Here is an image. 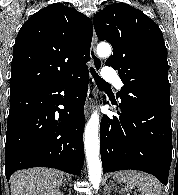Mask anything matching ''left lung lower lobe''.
<instances>
[{"label":"left lung lower lobe","mask_w":178,"mask_h":195,"mask_svg":"<svg viewBox=\"0 0 178 195\" xmlns=\"http://www.w3.org/2000/svg\"><path fill=\"white\" fill-rule=\"evenodd\" d=\"M119 108V117L101 119L103 171L140 170L166 185L172 160L171 108L124 97Z\"/></svg>","instance_id":"obj_1"}]
</instances>
